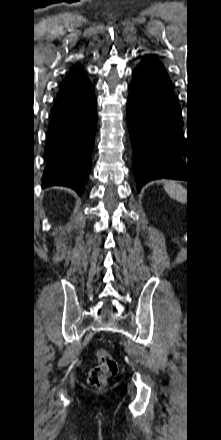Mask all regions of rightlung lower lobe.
<instances>
[{
  "instance_id": "1",
  "label": "right lung lower lobe",
  "mask_w": 221,
  "mask_h": 440,
  "mask_svg": "<svg viewBox=\"0 0 221 440\" xmlns=\"http://www.w3.org/2000/svg\"><path fill=\"white\" fill-rule=\"evenodd\" d=\"M94 87L87 79L64 84L55 101L45 147L43 187L66 186L78 195L91 168L97 112Z\"/></svg>"
}]
</instances>
